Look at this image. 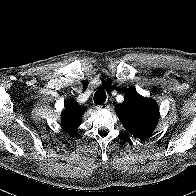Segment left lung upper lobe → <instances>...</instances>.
Wrapping results in <instances>:
<instances>
[{
	"mask_svg": "<svg viewBox=\"0 0 196 196\" xmlns=\"http://www.w3.org/2000/svg\"><path fill=\"white\" fill-rule=\"evenodd\" d=\"M116 112L124 127L138 138H143L155 128L159 114L155 103L133 90L125 94V100L118 105Z\"/></svg>",
	"mask_w": 196,
	"mask_h": 196,
	"instance_id": "obj_1",
	"label": "left lung upper lobe"
}]
</instances>
